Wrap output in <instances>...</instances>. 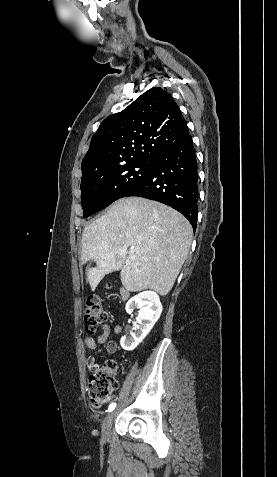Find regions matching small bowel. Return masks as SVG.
Returning <instances> with one entry per match:
<instances>
[{
    "mask_svg": "<svg viewBox=\"0 0 277 477\" xmlns=\"http://www.w3.org/2000/svg\"><path fill=\"white\" fill-rule=\"evenodd\" d=\"M115 335H118L121 332V327L119 325L115 326L113 329ZM111 333V327L109 324L104 325L102 334L99 335L96 339L91 336H86L84 339L85 345L90 350H97L101 345L105 344L106 352L108 354H114L117 349L118 345L117 342L113 339H108ZM95 358L89 357L88 365L92 367L95 365Z\"/></svg>",
    "mask_w": 277,
    "mask_h": 477,
    "instance_id": "small-bowel-1",
    "label": "small bowel"
}]
</instances>
